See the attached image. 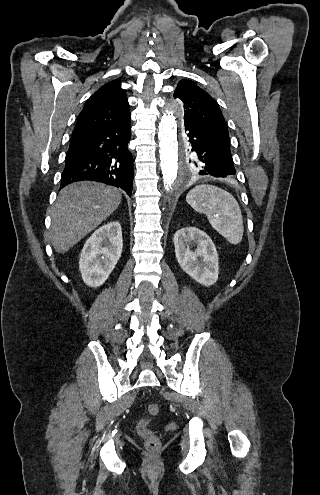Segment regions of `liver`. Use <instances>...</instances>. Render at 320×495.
Listing matches in <instances>:
<instances>
[{"label": "liver", "mask_w": 320, "mask_h": 495, "mask_svg": "<svg viewBox=\"0 0 320 495\" xmlns=\"http://www.w3.org/2000/svg\"><path fill=\"white\" fill-rule=\"evenodd\" d=\"M120 190L80 181L64 187L52 211L51 243L65 253L108 218L120 205Z\"/></svg>", "instance_id": "liver-1"}]
</instances>
